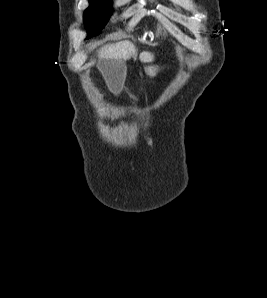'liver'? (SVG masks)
Masks as SVG:
<instances>
[{
    "instance_id": "obj_1",
    "label": "liver",
    "mask_w": 267,
    "mask_h": 298,
    "mask_svg": "<svg viewBox=\"0 0 267 298\" xmlns=\"http://www.w3.org/2000/svg\"><path fill=\"white\" fill-rule=\"evenodd\" d=\"M137 49L130 41H121L114 44H108L98 51L99 59L107 60H128L135 55ZM139 59L143 63H151L154 61V55L151 52L143 51L139 55Z\"/></svg>"
}]
</instances>
